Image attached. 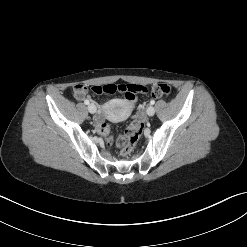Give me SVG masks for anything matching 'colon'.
<instances>
[{"label":"colon","instance_id":"colon-1","mask_svg":"<svg viewBox=\"0 0 247 247\" xmlns=\"http://www.w3.org/2000/svg\"><path fill=\"white\" fill-rule=\"evenodd\" d=\"M87 91L88 88L82 84L76 85L74 87V92L76 94H83ZM92 91L94 94L122 93L126 97L127 104H130V106L136 108V101L139 99V96L136 94L137 92L143 95H149L151 93L155 98H163L170 95L171 88L168 84L165 83L154 84L151 88L135 84H106L101 86H94L92 87ZM141 118V115H138V118L131 122L128 127L116 137L110 135V128L107 124H103L100 130L103 134L106 135V141L108 144L116 145V147L124 155H127L132 152L136 142L142 134L144 125Z\"/></svg>","mask_w":247,"mask_h":247}]
</instances>
